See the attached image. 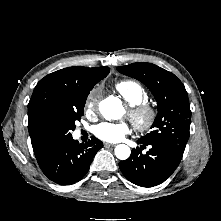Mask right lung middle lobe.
I'll return each instance as SVG.
<instances>
[{
  "label": "right lung middle lobe",
  "instance_id": "obj_1",
  "mask_svg": "<svg viewBox=\"0 0 221 221\" xmlns=\"http://www.w3.org/2000/svg\"><path fill=\"white\" fill-rule=\"evenodd\" d=\"M91 89L77 93L47 122L46 130L53 142L72 136L70 131L75 129V122L83 115L84 105Z\"/></svg>",
  "mask_w": 221,
  "mask_h": 221
}]
</instances>
